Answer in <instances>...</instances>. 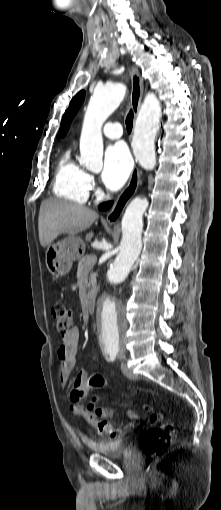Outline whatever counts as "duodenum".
<instances>
[{
	"instance_id": "1",
	"label": "duodenum",
	"mask_w": 221,
	"mask_h": 510,
	"mask_svg": "<svg viewBox=\"0 0 221 510\" xmlns=\"http://www.w3.org/2000/svg\"><path fill=\"white\" fill-rule=\"evenodd\" d=\"M96 304H97V295H92L89 300H88V303L86 305V311L87 313H92L94 312V310L96 309Z\"/></svg>"
}]
</instances>
